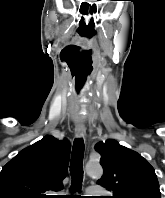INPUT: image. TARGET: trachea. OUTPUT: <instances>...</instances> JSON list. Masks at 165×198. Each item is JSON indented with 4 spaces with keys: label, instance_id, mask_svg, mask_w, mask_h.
I'll list each match as a JSON object with an SVG mask.
<instances>
[{
    "label": "trachea",
    "instance_id": "1",
    "mask_svg": "<svg viewBox=\"0 0 165 198\" xmlns=\"http://www.w3.org/2000/svg\"><path fill=\"white\" fill-rule=\"evenodd\" d=\"M83 157L84 142L82 139H76L73 144L70 172H71V188L72 192L79 191L82 187L83 180ZM70 198H82L80 196H71Z\"/></svg>",
    "mask_w": 165,
    "mask_h": 198
}]
</instances>
